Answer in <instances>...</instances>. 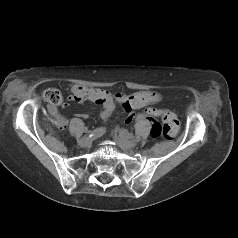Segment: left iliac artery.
Masks as SVG:
<instances>
[{
    "mask_svg": "<svg viewBox=\"0 0 238 238\" xmlns=\"http://www.w3.org/2000/svg\"><path fill=\"white\" fill-rule=\"evenodd\" d=\"M120 134H121L122 136L126 137V138L135 139L134 134L128 132L126 129H122V130L120 131Z\"/></svg>",
    "mask_w": 238,
    "mask_h": 238,
    "instance_id": "1",
    "label": "left iliac artery"
}]
</instances>
